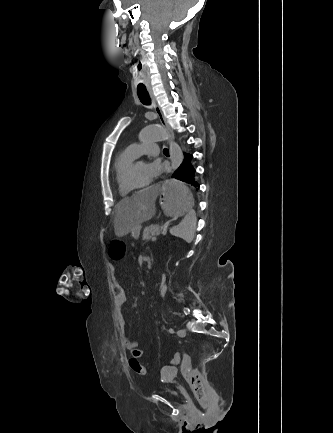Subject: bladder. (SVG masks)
<instances>
[{
	"label": "bladder",
	"mask_w": 333,
	"mask_h": 433,
	"mask_svg": "<svg viewBox=\"0 0 333 433\" xmlns=\"http://www.w3.org/2000/svg\"><path fill=\"white\" fill-rule=\"evenodd\" d=\"M160 392L169 397H175L177 395V393L174 390L167 389V388L161 389Z\"/></svg>",
	"instance_id": "obj_1"
}]
</instances>
